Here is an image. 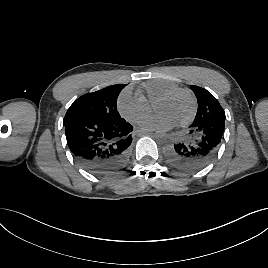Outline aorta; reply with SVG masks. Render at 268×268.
<instances>
[{"label": "aorta", "mask_w": 268, "mask_h": 268, "mask_svg": "<svg viewBox=\"0 0 268 268\" xmlns=\"http://www.w3.org/2000/svg\"><path fill=\"white\" fill-rule=\"evenodd\" d=\"M154 138L157 142L162 143L166 140L167 135L164 131L159 130L155 133Z\"/></svg>", "instance_id": "obj_1"}]
</instances>
